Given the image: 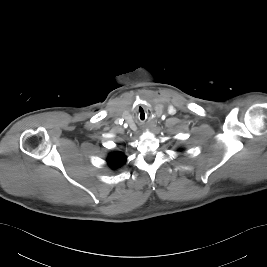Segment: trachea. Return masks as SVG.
<instances>
[{"instance_id":"3493384b","label":"trachea","mask_w":267,"mask_h":267,"mask_svg":"<svg viewBox=\"0 0 267 267\" xmlns=\"http://www.w3.org/2000/svg\"><path fill=\"white\" fill-rule=\"evenodd\" d=\"M138 119L140 120V121H145L146 120V116H145V113H140V114H138Z\"/></svg>"}]
</instances>
